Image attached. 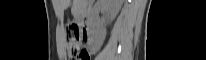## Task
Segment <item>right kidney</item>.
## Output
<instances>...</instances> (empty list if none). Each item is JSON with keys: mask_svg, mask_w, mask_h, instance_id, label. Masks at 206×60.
I'll return each instance as SVG.
<instances>
[{"mask_svg": "<svg viewBox=\"0 0 206 60\" xmlns=\"http://www.w3.org/2000/svg\"><path fill=\"white\" fill-rule=\"evenodd\" d=\"M104 6L107 9H109L110 14L112 16H116L119 10L120 3L117 1L106 0V2H104ZM91 28H92V34L95 36L97 43L101 44L105 36V31L101 27V23L96 15L92 18Z\"/></svg>", "mask_w": 206, "mask_h": 60, "instance_id": "ca27d5eb", "label": "right kidney"}]
</instances>
